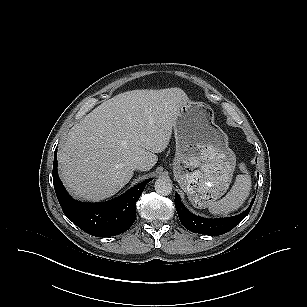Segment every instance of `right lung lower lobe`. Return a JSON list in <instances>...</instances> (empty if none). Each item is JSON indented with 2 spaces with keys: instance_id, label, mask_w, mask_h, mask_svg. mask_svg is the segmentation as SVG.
<instances>
[{
  "instance_id": "1",
  "label": "right lung lower lobe",
  "mask_w": 307,
  "mask_h": 307,
  "mask_svg": "<svg viewBox=\"0 0 307 307\" xmlns=\"http://www.w3.org/2000/svg\"><path fill=\"white\" fill-rule=\"evenodd\" d=\"M57 149L54 152L53 183L58 201L69 220L86 233L111 237L127 231L135 221V205L152 179L135 185L123 195L104 203H82L66 192L57 174Z\"/></svg>"
}]
</instances>
